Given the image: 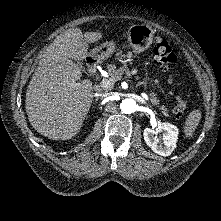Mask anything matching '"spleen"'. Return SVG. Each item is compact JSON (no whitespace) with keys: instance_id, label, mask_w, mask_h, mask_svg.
Returning a JSON list of instances; mask_svg holds the SVG:
<instances>
[{"instance_id":"1","label":"spleen","mask_w":221,"mask_h":221,"mask_svg":"<svg viewBox=\"0 0 221 221\" xmlns=\"http://www.w3.org/2000/svg\"><path fill=\"white\" fill-rule=\"evenodd\" d=\"M201 118L200 110L196 109L187 116L184 126L185 135L190 137L197 128Z\"/></svg>"}]
</instances>
